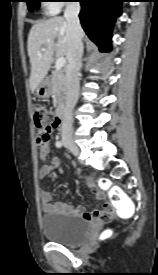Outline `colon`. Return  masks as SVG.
<instances>
[{
  "mask_svg": "<svg viewBox=\"0 0 158 275\" xmlns=\"http://www.w3.org/2000/svg\"><path fill=\"white\" fill-rule=\"evenodd\" d=\"M33 119L36 128L37 140L48 141L52 131L59 125L57 117H55L44 105L36 104L33 108ZM101 187L109 191L111 200L119 201L123 195L122 191L108 181L101 182ZM113 216L112 209L107 206L100 214L102 219H110ZM109 231L106 230L101 234V238H106Z\"/></svg>",
  "mask_w": 158,
  "mask_h": 275,
  "instance_id": "5ec220e1",
  "label": "colon"
}]
</instances>
